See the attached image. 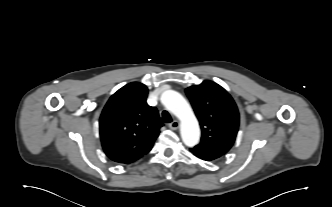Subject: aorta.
Returning a JSON list of instances; mask_svg holds the SVG:
<instances>
[{"instance_id":"obj_1","label":"aorta","mask_w":332,"mask_h":207,"mask_svg":"<svg viewBox=\"0 0 332 207\" xmlns=\"http://www.w3.org/2000/svg\"><path fill=\"white\" fill-rule=\"evenodd\" d=\"M163 105L181 121V138L188 147L198 144L200 128L196 116L184 97L173 90L163 92L161 96Z\"/></svg>"}]
</instances>
